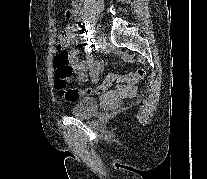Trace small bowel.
I'll use <instances>...</instances> for the list:
<instances>
[{
	"instance_id": "c3829d8e",
	"label": "small bowel",
	"mask_w": 207,
	"mask_h": 179,
	"mask_svg": "<svg viewBox=\"0 0 207 179\" xmlns=\"http://www.w3.org/2000/svg\"><path fill=\"white\" fill-rule=\"evenodd\" d=\"M83 0H71V9L65 11L62 18H68L74 16L79 20L78 26L80 29H84L83 20ZM75 26L68 24L64 29L66 42L74 48L69 53L70 64L72 69L78 74L79 81L85 82L90 79L96 82L103 71V62L99 60L92 52V48L88 44L79 45L78 40L74 34ZM84 50L86 56L81 59L80 52Z\"/></svg>"
}]
</instances>
